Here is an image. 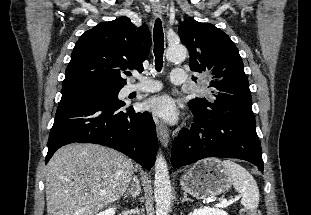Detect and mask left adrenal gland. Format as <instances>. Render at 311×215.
<instances>
[{
	"label": "left adrenal gland",
	"mask_w": 311,
	"mask_h": 215,
	"mask_svg": "<svg viewBox=\"0 0 311 215\" xmlns=\"http://www.w3.org/2000/svg\"><path fill=\"white\" fill-rule=\"evenodd\" d=\"M183 195H184V197H183V199H182V201H181L182 203H184L185 201H191V202L193 201L192 199H190V198L187 197V194H186V193H183Z\"/></svg>",
	"instance_id": "obj_1"
}]
</instances>
